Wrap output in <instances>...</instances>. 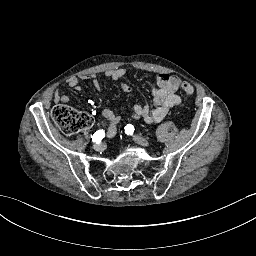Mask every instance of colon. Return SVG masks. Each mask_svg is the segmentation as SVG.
<instances>
[{"label": "colon", "mask_w": 256, "mask_h": 256, "mask_svg": "<svg viewBox=\"0 0 256 256\" xmlns=\"http://www.w3.org/2000/svg\"><path fill=\"white\" fill-rule=\"evenodd\" d=\"M181 88L186 94L193 93L192 86L187 82H182ZM52 118L58 128L67 135H74L80 130L87 129L93 122L87 113L74 110L67 105L56 106Z\"/></svg>", "instance_id": "5ec220e1"}]
</instances>
